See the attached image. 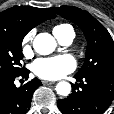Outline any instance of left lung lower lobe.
Here are the masks:
<instances>
[{
    "mask_svg": "<svg viewBox=\"0 0 114 114\" xmlns=\"http://www.w3.org/2000/svg\"><path fill=\"white\" fill-rule=\"evenodd\" d=\"M72 94L57 101L63 114H103L114 99L113 75H75Z\"/></svg>",
    "mask_w": 114,
    "mask_h": 114,
    "instance_id": "obj_1",
    "label": "left lung lower lobe"
}]
</instances>
